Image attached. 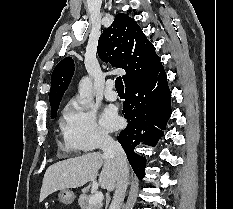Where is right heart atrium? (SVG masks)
Returning <instances> with one entry per match:
<instances>
[{"instance_id":"1","label":"right heart atrium","mask_w":233,"mask_h":209,"mask_svg":"<svg viewBox=\"0 0 233 209\" xmlns=\"http://www.w3.org/2000/svg\"><path fill=\"white\" fill-rule=\"evenodd\" d=\"M66 145L77 151H90L111 142L109 134L99 125L94 108L74 99L68 106L63 124Z\"/></svg>"}]
</instances>
